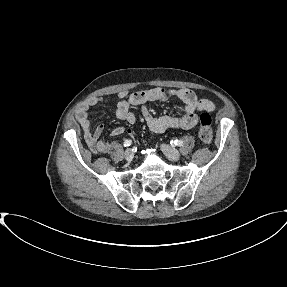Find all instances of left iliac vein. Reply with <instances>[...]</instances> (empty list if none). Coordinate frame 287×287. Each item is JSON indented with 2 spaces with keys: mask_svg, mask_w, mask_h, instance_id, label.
I'll list each match as a JSON object with an SVG mask.
<instances>
[{
  "mask_svg": "<svg viewBox=\"0 0 287 287\" xmlns=\"http://www.w3.org/2000/svg\"><path fill=\"white\" fill-rule=\"evenodd\" d=\"M160 147L169 160L178 161L180 159V152L177 149L167 144H161Z\"/></svg>",
  "mask_w": 287,
  "mask_h": 287,
  "instance_id": "left-iliac-vein-1",
  "label": "left iliac vein"
}]
</instances>
